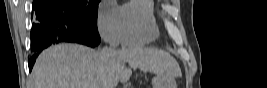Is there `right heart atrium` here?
Returning <instances> with one entry per match:
<instances>
[{
  "mask_svg": "<svg viewBox=\"0 0 267 88\" xmlns=\"http://www.w3.org/2000/svg\"><path fill=\"white\" fill-rule=\"evenodd\" d=\"M97 25L100 35L110 44L117 45L122 41V12L115 2H102L98 11Z\"/></svg>",
  "mask_w": 267,
  "mask_h": 88,
  "instance_id": "obj_1",
  "label": "right heart atrium"
}]
</instances>
